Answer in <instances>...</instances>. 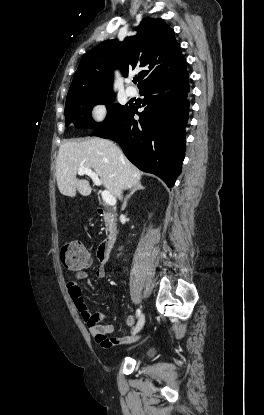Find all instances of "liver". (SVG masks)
<instances>
[{
	"label": "liver",
	"mask_w": 264,
	"mask_h": 415,
	"mask_svg": "<svg viewBox=\"0 0 264 415\" xmlns=\"http://www.w3.org/2000/svg\"><path fill=\"white\" fill-rule=\"evenodd\" d=\"M81 167L93 169L115 197L139 183L142 176L112 141L98 137L68 141L60 146L56 161L57 185L62 195L74 197L77 191L83 196L91 194L88 180L76 177Z\"/></svg>",
	"instance_id": "6515ba94"
}]
</instances>
